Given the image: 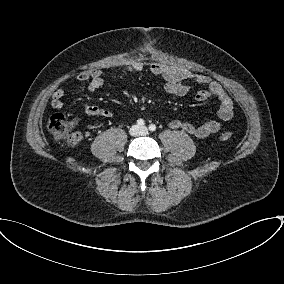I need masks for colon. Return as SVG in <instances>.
<instances>
[{
    "mask_svg": "<svg viewBox=\"0 0 284 284\" xmlns=\"http://www.w3.org/2000/svg\"><path fill=\"white\" fill-rule=\"evenodd\" d=\"M74 121L68 119L62 113H55L51 116L48 129L54 139L67 142L68 144H77L81 141L82 135L74 131ZM232 137L231 132H223L220 139L229 140Z\"/></svg>",
    "mask_w": 284,
    "mask_h": 284,
    "instance_id": "colon-1",
    "label": "colon"
}]
</instances>
